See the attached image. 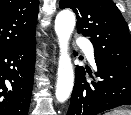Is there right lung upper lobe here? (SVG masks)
<instances>
[{
    "instance_id": "1",
    "label": "right lung upper lobe",
    "mask_w": 131,
    "mask_h": 115,
    "mask_svg": "<svg viewBox=\"0 0 131 115\" xmlns=\"http://www.w3.org/2000/svg\"><path fill=\"white\" fill-rule=\"evenodd\" d=\"M38 0H0V51L35 38Z\"/></svg>"
}]
</instances>
